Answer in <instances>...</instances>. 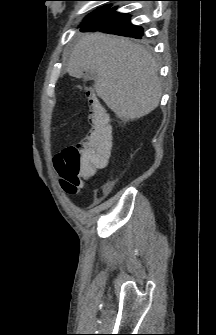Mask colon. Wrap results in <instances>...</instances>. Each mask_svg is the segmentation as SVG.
<instances>
[{
    "label": "colon",
    "instance_id": "colon-1",
    "mask_svg": "<svg viewBox=\"0 0 216 335\" xmlns=\"http://www.w3.org/2000/svg\"><path fill=\"white\" fill-rule=\"evenodd\" d=\"M91 100V110L87 116L89 129L85 140L70 145L56 155L54 162L60 183L65 192L76 194L83 178H100L101 172H109L113 145L110 138L112 128L100 103L95 101L91 90L86 88Z\"/></svg>",
    "mask_w": 216,
    "mask_h": 335
}]
</instances>
